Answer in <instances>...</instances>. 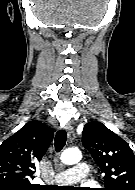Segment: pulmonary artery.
<instances>
[{
	"instance_id": "pulmonary-artery-1",
	"label": "pulmonary artery",
	"mask_w": 135,
	"mask_h": 190,
	"mask_svg": "<svg viewBox=\"0 0 135 190\" xmlns=\"http://www.w3.org/2000/svg\"><path fill=\"white\" fill-rule=\"evenodd\" d=\"M88 175V164L80 162L75 164L72 168L57 172L54 175V181L58 184H72L86 179Z\"/></svg>"
}]
</instances>
